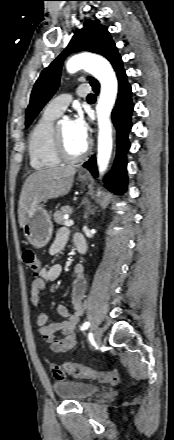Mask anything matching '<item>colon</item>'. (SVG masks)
Listing matches in <instances>:
<instances>
[{
  "mask_svg": "<svg viewBox=\"0 0 174 440\" xmlns=\"http://www.w3.org/2000/svg\"><path fill=\"white\" fill-rule=\"evenodd\" d=\"M23 259L27 268L34 274L39 275L41 272V266L38 262L35 253L31 249H26L23 252ZM61 368L76 377H88L96 379L100 382L117 384L119 381L118 374L114 371L102 372L93 370L84 366H79L71 362H65Z\"/></svg>",
  "mask_w": 174,
  "mask_h": 440,
  "instance_id": "5ec220e1",
  "label": "colon"
}]
</instances>
